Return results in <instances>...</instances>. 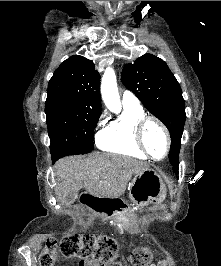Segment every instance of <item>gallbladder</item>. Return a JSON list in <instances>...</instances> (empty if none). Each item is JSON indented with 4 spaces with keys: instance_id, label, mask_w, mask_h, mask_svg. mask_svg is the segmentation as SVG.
Returning <instances> with one entry per match:
<instances>
[{
    "instance_id": "obj_1",
    "label": "gallbladder",
    "mask_w": 221,
    "mask_h": 266,
    "mask_svg": "<svg viewBox=\"0 0 221 266\" xmlns=\"http://www.w3.org/2000/svg\"><path fill=\"white\" fill-rule=\"evenodd\" d=\"M77 196V191H71L63 197L62 202L65 204H71L77 199Z\"/></svg>"
}]
</instances>
